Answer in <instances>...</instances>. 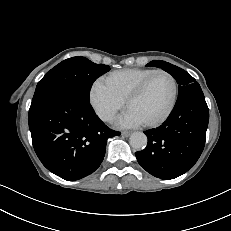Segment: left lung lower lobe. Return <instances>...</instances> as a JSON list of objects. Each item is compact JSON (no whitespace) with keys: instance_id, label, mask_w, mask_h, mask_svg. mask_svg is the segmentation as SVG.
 Instances as JSON below:
<instances>
[{"instance_id":"left-lung-lower-lobe-1","label":"left lung lower lobe","mask_w":231,"mask_h":231,"mask_svg":"<svg viewBox=\"0 0 231 231\" xmlns=\"http://www.w3.org/2000/svg\"><path fill=\"white\" fill-rule=\"evenodd\" d=\"M209 111L198 83L184 86L168 119L147 130V147L135 153L148 173L164 180L187 172L199 159L205 145Z\"/></svg>"}]
</instances>
